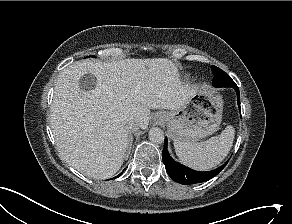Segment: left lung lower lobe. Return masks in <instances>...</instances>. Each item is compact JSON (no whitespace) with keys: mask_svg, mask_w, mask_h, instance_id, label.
I'll return each mask as SVG.
<instances>
[{"mask_svg":"<svg viewBox=\"0 0 292 224\" xmlns=\"http://www.w3.org/2000/svg\"><path fill=\"white\" fill-rule=\"evenodd\" d=\"M229 77V76H228ZM228 81L229 84H226L224 87H232L235 89L237 93V100H238V106L240 108V93L237 85L235 82L229 77ZM241 112V109H240ZM162 159L166 167V171L168 175L176 182L180 184L190 185V184H196L201 183L206 180L211 179L212 177L216 176L221 170L226 166L227 163L222 165L220 168H217L212 171L208 172H198L195 170H192L184 165L179 164L178 162L174 161L168 151H167V139H165L164 149L162 152Z\"/></svg>","mask_w":292,"mask_h":224,"instance_id":"0a47b994","label":"left lung lower lobe"}]
</instances>
